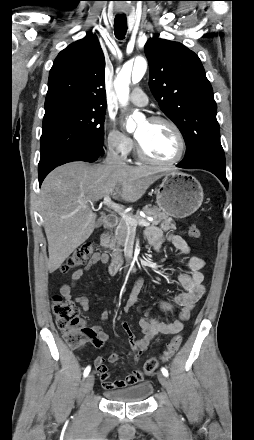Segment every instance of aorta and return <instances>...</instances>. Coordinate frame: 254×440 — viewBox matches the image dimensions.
I'll use <instances>...</instances> for the list:
<instances>
[{"label":"aorta","instance_id":"1","mask_svg":"<svg viewBox=\"0 0 254 440\" xmlns=\"http://www.w3.org/2000/svg\"><path fill=\"white\" fill-rule=\"evenodd\" d=\"M147 70V62L144 58L139 57L135 60L134 64L131 62H128L123 65L120 72L117 74V77L114 81V88L117 94V97L119 99V102L122 105H126L129 99V85L131 83V75L132 80L134 82H139L145 72ZM138 114H133L127 119L126 123V129L128 132H132L136 128V122L135 120L138 119Z\"/></svg>","mask_w":254,"mask_h":440}]
</instances>
